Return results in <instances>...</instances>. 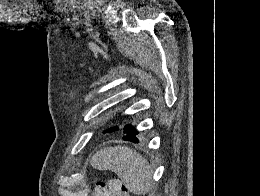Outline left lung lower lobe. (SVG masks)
Listing matches in <instances>:
<instances>
[{"label": "left lung lower lobe", "instance_id": "1", "mask_svg": "<svg viewBox=\"0 0 260 196\" xmlns=\"http://www.w3.org/2000/svg\"><path fill=\"white\" fill-rule=\"evenodd\" d=\"M124 133L126 135L123 137V140L131 141L134 143L139 142L138 138L136 137L138 135V131L131 124L125 126Z\"/></svg>", "mask_w": 260, "mask_h": 196}]
</instances>
